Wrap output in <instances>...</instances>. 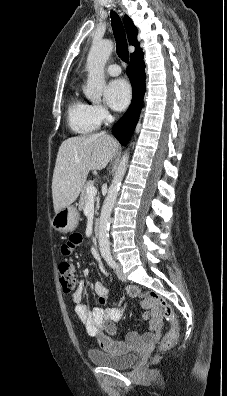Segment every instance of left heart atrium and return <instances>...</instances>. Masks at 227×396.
Listing matches in <instances>:
<instances>
[{"label":"left heart atrium","mask_w":227,"mask_h":396,"mask_svg":"<svg viewBox=\"0 0 227 396\" xmlns=\"http://www.w3.org/2000/svg\"><path fill=\"white\" fill-rule=\"evenodd\" d=\"M107 104L114 110H123L131 99V89L129 84L123 79L111 81L104 92Z\"/></svg>","instance_id":"39dd6f15"}]
</instances>
